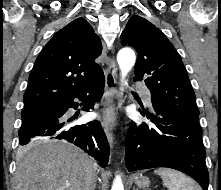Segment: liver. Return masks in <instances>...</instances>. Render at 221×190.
<instances>
[{
    "instance_id": "obj_1",
    "label": "liver",
    "mask_w": 221,
    "mask_h": 190,
    "mask_svg": "<svg viewBox=\"0 0 221 190\" xmlns=\"http://www.w3.org/2000/svg\"><path fill=\"white\" fill-rule=\"evenodd\" d=\"M23 154L15 190H88L98 167L88 154L65 141H36L24 147Z\"/></svg>"
}]
</instances>
